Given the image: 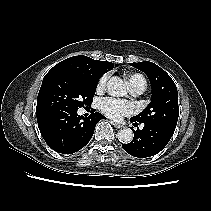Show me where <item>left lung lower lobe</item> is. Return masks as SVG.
<instances>
[{"instance_id":"0a47b994","label":"left lung lower lobe","mask_w":211,"mask_h":211,"mask_svg":"<svg viewBox=\"0 0 211 211\" xmlns=\"http://www.w3.org/2000/svg\"><path fill=\"white\" fill-rule=\"evenodd\" d=\"M134 125H138V123H134ZM133 132V140L128 144H123L122 147L127 153L138 158L156 155L168 144L173 135L157 126L149 124H144L142 130L138 128L136 131L133 130Z\"/></svg>"}]
</instances>
